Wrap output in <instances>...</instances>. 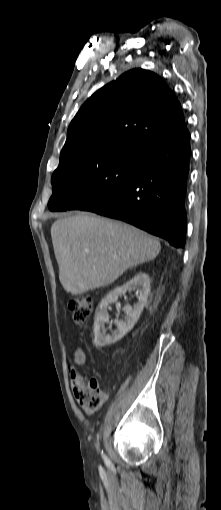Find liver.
Wrapping results in <instances>:
<instances>
[{"label":"liver","mask_w":221,"mask_h":510,"mask_svg":"<svg viewBox=\"0 0 221 510\" xmlns=\"http://www.w3.org/2000/svg\"><path fill=\"white\" fill-rule=\"evenodd\" d=\"M51 237L59 280L72 295L113 283L161 249L158 240L131 225L88 214L56 220Z\"/></svg>","instance_id":"1"}]
</instances>
